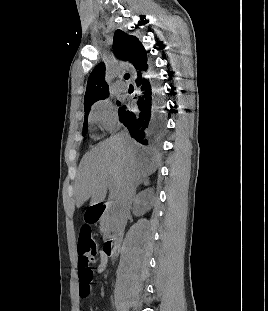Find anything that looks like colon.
Returning a JSON list of instances; mask_svg holds the SVG:
<instances>
[{
  "instance_id": "obj_1",
  "label": "colon",
  "mask_w": 268,
  "mask_h": 311,
  "mask_svg": "<svg viewBox=\"0 0 268 311\" xmlns=\"http://www.w3.org/2000/svg\"><path fill=\"white\" fill-rule=\"evenodd\" d=\"M78 277L80 281V295L87 297L90 292V284L93 281L94 273L90 268V263L93 262L97 247L92 239L91 228L83 226L78 238Z\"/></svg>"
}]
</instances>
